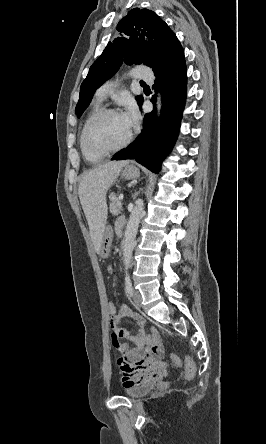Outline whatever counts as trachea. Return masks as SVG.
I'll list each match as a JSON object with an SVG mask.
<instances>
[{
  "instance_id": "obj_1",
  "label": "trachea",
  "mask_w": 266,
  "mask_h": 444,
  "mask_svg": "<svg viewBox=\"0 0 266 444\" xmlns=\"http://www.w3.org/2000/svg\"><path fill=\"white\" fill-rule=\"evenodd\" d=\"M140 83H144V81H143V80H141V81H140Z\"/></svg>"
}]
</instances>
